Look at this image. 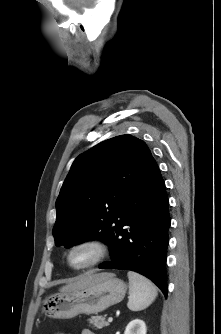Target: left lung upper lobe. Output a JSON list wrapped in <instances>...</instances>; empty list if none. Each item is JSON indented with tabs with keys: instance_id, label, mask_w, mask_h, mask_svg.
<instances>
[{
	"instance_id": "left-lung-upper-lobe-1",
	"label": "left lung upper lobe",
	"mask_w": 221,
	"mask_h": 334,
	"mask_svg": "<svg viewBox=\"0 0 221 334\" xmlns=\"http://www.w3.org/2000/svg\"><path fill=\"white\" fill-rule=\"evenodd\" d=\"M153 161L146 143L131 135L113 137L80 154L56 201V246L94 239L108 245L124 199Z\"/></svg>"
}]
</instances>
